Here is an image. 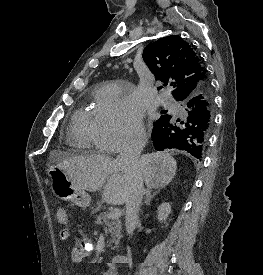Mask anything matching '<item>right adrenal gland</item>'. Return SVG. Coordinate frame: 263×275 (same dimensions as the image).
Wrapping results in <instances>:
<instances>
[{
  "label": "right adrenal gland",
  "mask_w": 263,
  "mask_h": 275,
  "mask_svg": "<svg viewBox=\"0 0 263 275\" xmlns=\"http://www.w3.org/2000/svg\"><path fill=\"white\" fill-rule=\"evenodd\" d=\"M160 192V190H157L155 192L152 193V191L150 189H147L145 192H144V195H145V200H144V203L146 205H149L150 202L152 201V199ZM143 205V204H142Z\"/></svg>",
  "instance_id": "obj_1"
}]
</instances>
